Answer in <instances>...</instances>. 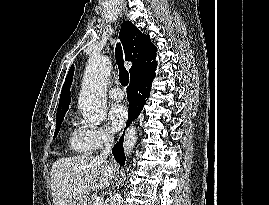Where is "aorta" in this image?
Masks as SVG:
<instances>
[{
    "label": "aorta",
    "instance_id": "762f6f07",
    "mask_svg": "<svg viewBox=\"0 0 269 205\" xmlns=\"http://www.w3.org/2000/svg\"><path fill=\"white\" fill-rule=\"evenodd\" d=\"M111 73V63L106 56H91L86 66L78 106L86 124L90 127L98 126L105 120L106 100L105 93ZM137 141L136 128L131 126L124 139L125 154L133 151ZM109 205H123L120 194L110 198Z\"/></svg>",
    "mask_w": 269,
    "mask_h": 205
}]
</instances>
